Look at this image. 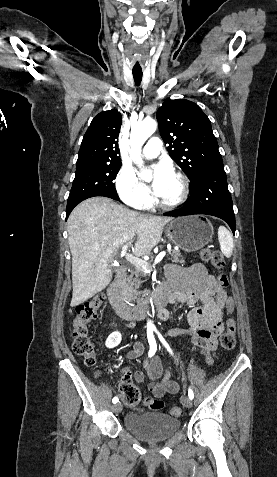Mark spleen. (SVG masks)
Returning a JSON list of instances; mask_svg holds the SVG:
<instances>
[{
  "label": "spleen",
  "mask_w": 277,
  "mask_h": 477,
  "mask_svg": "<svg viewBox=\"0 0 277 477\" xmlns=\"http://www.w3.org/2000/svg\"><path fill=\"white\" fill-rule=\"evenodd\" d=\"M218 240L220 243L221 252L225 257L230 258L233 253V238L232 234L224 226H220L218 229Z\"/></svg>",
  "instance_id": "spleen-1"
}]
</instances>
